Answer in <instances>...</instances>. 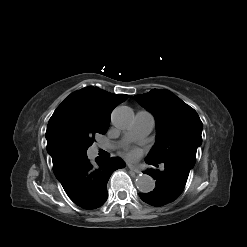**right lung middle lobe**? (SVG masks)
I'll use <instances>...</instances> for the list:
<instances>
[{
  "instance_id": "dd1d6c3e",
  "label": "right lung middle lobe",
  "mask_w": 247,
  "mask_h": 247,
  "mask_svg": "<svg viewBox=\"0 0 247 247\" xmlns=\"http://www.w3.org/2000/svg\"><path fill=\"white\" fill-rule=\"evenodd\" d=\"M96 133L105 134V132H85L80 135H69L66 139L68 148L77 157H86V151L94 141V135Z\"/></svg>"
}]
</instances>
